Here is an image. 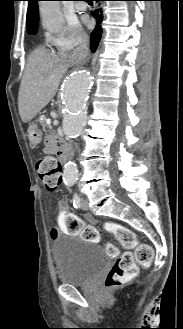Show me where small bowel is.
I'll return each mask as SVG.
<instances>
[{
    "mask_svg": "<svg viewBox=\"0 0 183 329\" xmlns=\"http://www.w3.org/2000/svg\"><path fill=\"white\" fill-rule=\"evenodd\" d=\"M46 151H53V142L47 140ZM54 214L58 215V219H75V212H69L68 204L60 201ZM88 223H95V219L91 215H85ZM60 232H65L66 236H81V242H99L100 231L98 225H85L84 220H60L59 227H53L50 230V237L55 238Z\"/></svg>",
    "mask_w": 183,
    "mask_h": 329,
    "instance_id": "c3829d8e",
    "label": "small bowel"
}]
</instances>
